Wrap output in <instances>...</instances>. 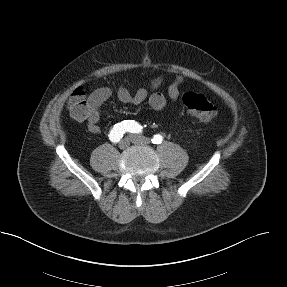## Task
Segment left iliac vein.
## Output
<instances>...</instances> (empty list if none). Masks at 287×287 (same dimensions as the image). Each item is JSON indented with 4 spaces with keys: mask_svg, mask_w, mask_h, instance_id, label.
<instances>
[{
    "mask_svg": "<svg viewBox=\"0 0 287 287\" xmlns=\"http://www.w3.org/2000/svg\"><path fill=\"white\" fill-rule=\"evenodd\" d=\"M130 141L136 145H148L150 143V139L141 135L132 134L130 135Z\"/></svg>",
    "mask_w": 287,
    "mask_h": 287,
    "instance_id": "obj_1",
    "label": "left iliac vein"
}]
</instances>
